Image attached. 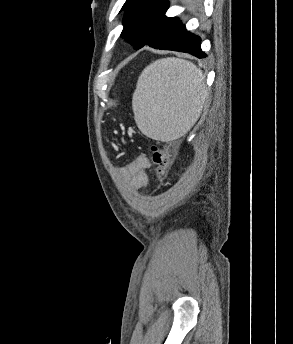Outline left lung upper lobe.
Returning a JSON list of instances; mask_svg holds the SVG:
<instances>
[{"mask_svg": "<svg viewBox=\"0 0 293 344\" xmlns=\"http://www.w3.org/2000/svg\"><path fill=\"white\" fill-rule=\"evenodd\" d=\"M168 8L167 0H126L121 37L136 50L167 42L182 25L178 18L165 16Z\"/></svg>", "mask_w": 293, "mask_h": 344, "instance_id": "left-lung-upper-lobe-1", "label": "left lung upper lobe"}]
</instances>
